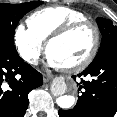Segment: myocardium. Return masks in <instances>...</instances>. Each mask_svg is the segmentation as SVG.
<instances>
[{
  "label": "myocardium",
  "mask_w": 117,
  "mask_h": 117,
  "mask_svg": "<svg viewBox=\"0 0 117 117\" xmlns=\"http://www.w3.org/2000/svg\"><path fill=\"white\" fill-rule=\"evenodd\" d=\"M83 28H90L93 31V34H94L93 46H92L89 54L82 61H80L72 66L64 68L68 72L82 71V70L86 69L94 61V59L97 56V53L99 51L100 41H101V34H100V30H99L98 26L89 20L76 21V22L70 23V24L65 25L64 27L60 28L58 31H56L54 34H52L46 42V54L49 55L50 46L54 42L59 41Z\"/></svg>",
  "instance_id": "myocardium-1"
}]
</instances>
